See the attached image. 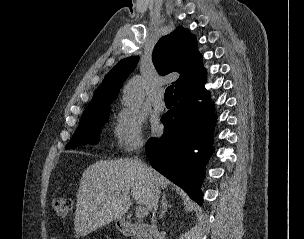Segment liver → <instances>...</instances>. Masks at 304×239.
<instances>
[{
  "instance_id": "obj_1",
  "label": "liver",
  "mask_w": 304,
  "mask_h": 239,
  "mask_svg": "<svg viewBox=\"0 0 304 239\" xmlns=\"http://www.w3.org/2000/svg\"><path fill=\"white\" fill-rule=\"evenodd\" d=\"M169 181L153 168L132 159L99 160L82 174L74 219L80 236L120 219L136 203L152 210L153 188L164 189Z\"/></svg>"
}]
</instances>
